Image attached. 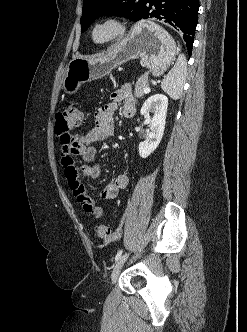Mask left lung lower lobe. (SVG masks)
Returning a JSON list of instances; mask_svg holds the SVG:
<instances>
[{"mask_svg":"<svg viewBox=\"0 0 247 332\" xmlns=\"http://www.w3.org/2000/svg\"><path fill=\"white\" fill-rule=\"evenodd\" d=\"M199 0H147L139 19L157 18L182 33L191 54L198 23Z\"/></svg>","mask_w":247,"mask_h":332,"instance_id":"0a47b994","label":"left lung lower lobe"}]
</instances>
